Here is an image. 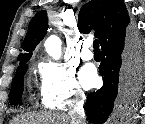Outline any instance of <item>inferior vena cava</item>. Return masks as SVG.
Wrapping results in <instances>:
<instances>
[{"label":"inferior vena cava","mask_w":145,"mask_h":124,"mask_svg":"<svg viewBox=\"0 0 145 124\" xmlns=\"http://www.w3.org/2000/svg\"><path fill=\"white\" fill-rule=\"evenodd\" d=\"M84 102L83 101H77L76 102V110L70 112L71 117V123L72 124H85V113L83 109Z\"/></svg>","instance_id":"602c4592"}]
</instances>
